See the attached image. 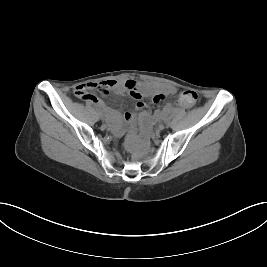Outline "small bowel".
Returning <instances> with one entry per match:
<instances>
[{"mask_svg": "<svg viewBox=\"0 0 267 267\" xmlns=\"http://www.w3.org/2000/svg\"><path fill=\"white\" fill-rule=\"evenodd\" d=\"M104 84L106 87L110 88L112 86H114L118 92L122 93L124 92V85L122 82H113V81H104ZM82 85H78L75 87L74 89V94L78 97L77 95V88H79ZM176 93V89L175 87L171 86V85H161V84H157V83H143L139 85V90L137 91V94H131V96L137 100L136 102V108L138 110H142L146 107L145 103L141 100L142 97L147 96V95H153L155 97L157 96H163V95H171ZM87 100L91 103H93L94 105H96L97 107L103 109L104 111L110 113L111 109L105 104V102L101 99L92 97L90 99H84ZM175 107L171 104L167 105V110L172 111L174 110ZM161 114L159 111H157L155 113V118H160ZM125 118L127 120H131L133 118V115L129 112L125 113Z\"/></svg>", "mask_w": 267, "mask_h": 267, "instance_id": "c3829d8e", "label": "small bowel"}]
</instances>
